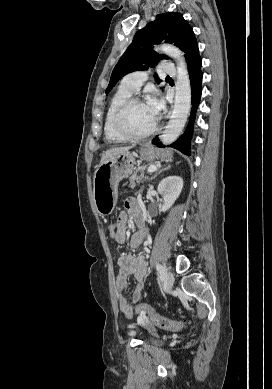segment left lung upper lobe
Wrapping results in <instances>:
<instances>
[{
  "instance_id": "obj_1",
  "label": "left lung upper lobe",
  "mask_w": 272,
  "mask_h": 389,
  "mask_svg": "<svg viewBox=\"0 0 272 389\" xmlns=\"http://www.w3.org/2000/svg\"><path fill=\"white\" fill-rule=\"evenodd\" d=\"M161 41L174 43L179 47L188 61L193 50L198 46L195 34L180 13H164L156 16L153 22L137 31L132 43L119 59L110 78L106 93L115 83L128 73L154 67L160 56L153 51V45ZM162 59L167 56L161 55ZM156 81H160L155 75Z\"/></svg>"
}]
</instances>
